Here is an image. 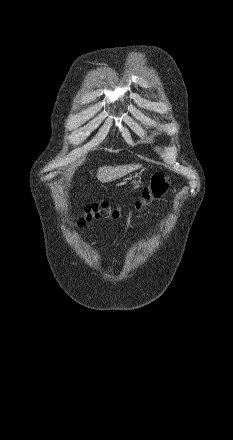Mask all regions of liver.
<instances>
[{
	"instance_id": "6515ba94",
	"label": "liver",
	"mask_w": 233,
	"mask_h": 440,
	"mask_svg": "<svg viewBox=\"0 0 233 440\" xmlns=\"http://www.w3.org/2000/svg\"><path fill=\"white\" fill-rule=\"evenodd\" d=\"M142 168L140 164H129V165H121V166H103L100 167L97 171V179L100 182H110L121 177H124L130 172L138 170Z\"/></svg>"
}]
</instances>
